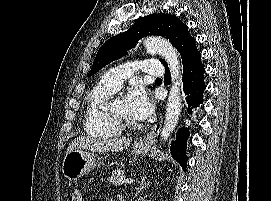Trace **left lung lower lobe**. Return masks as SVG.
<instances>
[{
  "instance_id": "0a47b994",
  "label": "left lung lower lobe",
  "mask_w": 271,
  "mask_h": 201,
  "mask_svg": "<svg viewBox=\"0 0 271 201\" xmlns=\"http://www.w3.org/2000/svg\"><path fill=\"white\" fill-rule=\"evenodd\" d=\"M182 61H183V85L184 92L187 95L186 100L188 103V113L194 112V110L203 103V92L205 89V83L203 80V74L205 69L201 63V55L198 51L195 39L188 41L179 49ZM166 67L165 81H170V72ZM189 137V130L187 128H181L177 132L176 141L171 146V154L173 158L186 170L187 156H186V140Z\"/></svg>"
}]
</instances>
